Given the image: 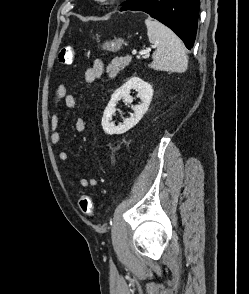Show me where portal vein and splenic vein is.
Listing matches in <instances>:
<instances>
[{"mask_svg": "<svg viewBox=\"0 0 249 294\" xmlns=\"http://www.w3.org/2000/svg\"><path fill=\"white\" fill-rule=\"evenodd\" d=\"M149 51H150V50L141 51V52H140V55H146V54H149ZM136 54H137V52H136V50H134V51L132 52V55H136Z\"/></svg>", "mask_w": 249, "mask_h": 294, "instance_id": "18ae733b", "label": "portal vein and splenic vein"}]
</instances>
